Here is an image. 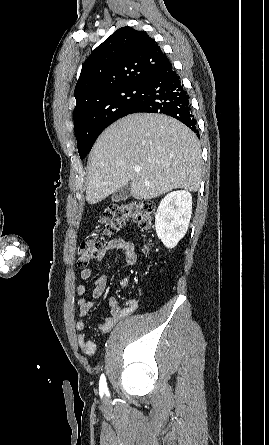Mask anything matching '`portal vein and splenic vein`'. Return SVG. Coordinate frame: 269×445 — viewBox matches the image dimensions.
I'll return each instance as SVG.
<instances>
[{"instance_id": "18ae733b", "label": "portal vein and splenic vein", "mask_w": 269, "mask_h": 445, "mask_svg": "<svg viewBox=\"0 0 269 445\" xmlns=\"http://www.w3.org/2000/svg\"><path fill=\"white\" fill-rule=\"evenodd\" d=\"M134 170H135V172H140L141 168L137 166V167L134 168Z\"/></svg>"}]
</instances>
